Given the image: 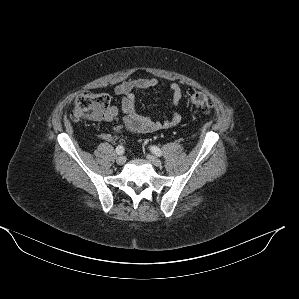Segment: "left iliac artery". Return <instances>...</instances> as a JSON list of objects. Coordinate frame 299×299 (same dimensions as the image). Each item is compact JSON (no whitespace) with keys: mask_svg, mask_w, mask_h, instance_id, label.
<instances>
[{"mask_svg":"<svg viewBox=\"0 0 299 299\" xmlns=\"http://www.w3.org/2000/svg\"><path fill=\"white\" fill-rule=\"evenodd\" d=\"M150 150L155 154V155H157V156H162V151L158 148V147H156V146H151L150 147Z\"/></svg>","mask_w":299,"mask_h":299,"instance_id":"obj_1","label":"left iliac artery"}]
</instances>
